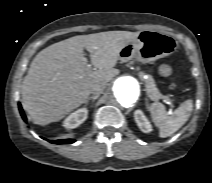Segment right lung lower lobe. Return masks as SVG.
I'll use <instances>...</instances> for the list:
<instances>
[{
    "label": "right lung lower lobe",
    "instance_id": "obj_1",
    "mask_svg": "<svg viewBox=\"0 0 212 183\" xmlns=\"http://www.w3.org/2000/svg\"><path fill=\"white\" fill-rule=\"evenodd\" d=\"M19 110H20V114H21L22 118L26 121V116H25L20 104H19ZM73 142H75L74 139H65V140L54 141L55 144H70V143H73Z\"/></svg>",
    "mask_w": 212,
    "mask_h": 183
}]
</instances>
